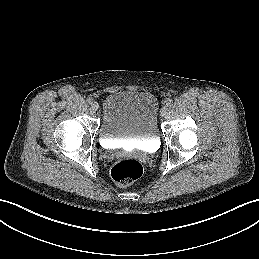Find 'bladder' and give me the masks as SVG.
I'll return each mask as SVG.
<instances>
[{"label":"bladder","mask_w":259,"mask_h":259,"mask_svg":"<svg viewBox=\"0 0 259 259\" xmlns=\"http://www.w3.org/2000/svg\"><path fill=\"white\" fill-rule=\"evenodd\" d=\"M158 101L150 92L125 90L108 94L98 130L102 142L148 144L158 139Z\"/></svg>","instance_id":"1"}]
</instances>
